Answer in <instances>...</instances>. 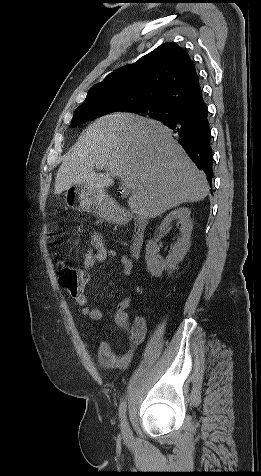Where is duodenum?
<instances>
[{
	"label": "duodenum",
	"mask_w": 261,
	"mask_h": 476,
	"mask_svg": "<svg viewBox=\"0 0 261 476\" xmlns=\"http://www.w3.org/2000/svg\"><path fill=\"white\" fill-rule=\"evenodd\" d=\"M112 220L116 224H126L130 221L134 222V229L130 241V253L134 259L140 258L145 242L148 221L140 216L132 218L130 214L124 210L115 211L112 215Z\"/></svg>",
	"instance_id": "duodenum-1"
}]
</instances>
